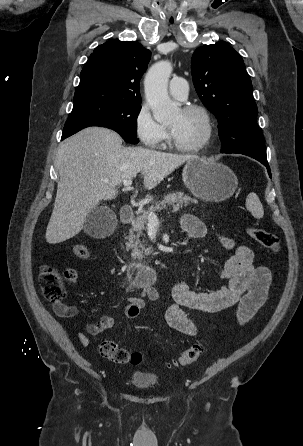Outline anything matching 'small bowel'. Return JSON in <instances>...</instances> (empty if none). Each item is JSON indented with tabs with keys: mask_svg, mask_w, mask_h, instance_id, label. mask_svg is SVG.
I'll return each mask as SVG.
<instances>
[{
	"mask_svg": "<svg viewBox=\"0 0 303 446\" xmlns=\"http://www.w3.org/2000/svg\"><path fill=\"white\" fill-rule=\"evenodd\" d=\"M184 234L191 239H202L208 234L205 224L196 216L186 214L181 219ZM223 246L233 249L234 253L221 265L219 276L227 285L217 290L197 291L192 289L184 280L178 281L172 288L174 303L166 312L165 318L173 329L192 337L198 335V328L194 321L187 316V310L217 313L236 306L238 322L247 323L266 301L271 283V271L266 266L254 263L253 251L245 246H236L229 237H219ZM139 289L137 296H125L124 315L128 319H135L145 308L146 301H158L160 293L151 285H135L129 287L127 293ZM55 313L61 318H73L79 310L75 305L63 303L54 304ZM115 324L112 316L104 315L98 321L87 326L91 335H98ZM82 346L88 345V338L77 334Z\"/></svg>",
	"mask_w": 303,
	"mask_h": 446,
	"instance_id": "1",
	"label": "small bowel"
}]
</instances>
